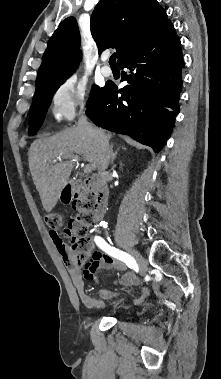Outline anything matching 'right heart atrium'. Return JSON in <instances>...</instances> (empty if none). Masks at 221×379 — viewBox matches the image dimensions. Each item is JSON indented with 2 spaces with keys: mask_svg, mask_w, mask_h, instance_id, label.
Listing matches in <instances>:
<instances>
[{
  "mask_svg": "<svg viewBox=\"0 0 221 379\" xmlns=\"http://www.w3.org/2000/svg\"><path fill=\"white\" fill-rule=\"evenodd\" d=\"M54 116L64 122L72 121L76 114L88 106L87 85L75 77L60 82L50 96Z\"/></svg>",
  "mask_w": 221,
  "mask_h": 379,
  "instance_id": "obj_1",
  "label": "right heart atrium"
}]
</instances>
